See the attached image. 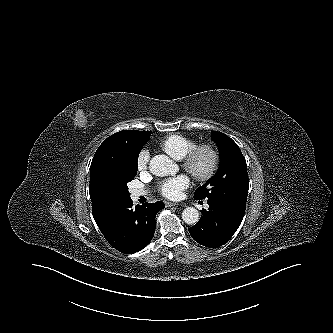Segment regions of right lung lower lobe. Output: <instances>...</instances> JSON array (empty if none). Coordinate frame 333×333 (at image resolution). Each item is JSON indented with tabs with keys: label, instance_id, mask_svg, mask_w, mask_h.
<instances>
[{
	"label": "right lung lower lobe",
	"instance_id": "obj_1",
	"mask_svg": "<svg viewBox=\"0 0 333 333\" xmlns=\"http://www.w3.org/2000/svg\"><path fill=\"white\" fill-rule=\"evenodd\" d=\"M128 199L117 205L99 227L107 241L118 251L132 254L142 250L155 232V216L165 207L162 201L132 207Z\"/></svg>",
	"mask_w": 333,
	"mask_h": 333
}]
</instances>
